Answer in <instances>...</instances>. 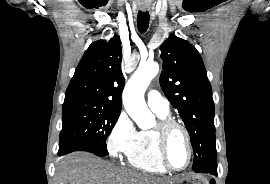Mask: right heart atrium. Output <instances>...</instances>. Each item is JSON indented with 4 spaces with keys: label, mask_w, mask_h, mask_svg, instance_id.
Returning <instances> with one entry per match:
<instances>
[{
    "label": "right heart atrium",
    "mask_w": 270,
    "mask_h": 184,
    "mask_svg": "<svg viewBox=\"0 0 270 184\" xmlns=\"http://www.w3.org/2000/svg\"><path fill=\"white\" fill-rule=\"evenodd\" d=\"M138 131L126 112H121L113 123L106 140V149L110 156L122 158L132 150Z\"/></svg>",
    "instance_id": "right-heart-atrium-1"
}]
</instances>
